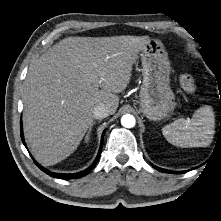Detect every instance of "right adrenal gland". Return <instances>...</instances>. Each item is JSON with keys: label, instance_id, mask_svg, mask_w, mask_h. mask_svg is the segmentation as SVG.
I'll use <instances>...</instances> for the list:
<instances>
[{"label": "right adrenal gland", "instance_id": "right-adrenal-gland-1", "mask_svg": "<svg viewBox=\"0 0 221 221\" xmlns=\"http://www.w3.org/2000/svg\"><path fill=\"white\" fill-rule=\"evenodd\" d=\"M96 121L92 122L90 127H89V130L85 136V142H88L90 140V134H91V131H92V127L93 125H95Z\"/></svg>", "mask_w": 221, "mask_h": 221}]
</instances>
